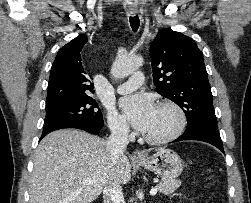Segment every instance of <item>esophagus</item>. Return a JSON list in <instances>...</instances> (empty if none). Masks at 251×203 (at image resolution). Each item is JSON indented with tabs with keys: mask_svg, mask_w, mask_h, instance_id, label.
Here are the masks:
<instances>
[{
	"mask_svg": "<svg viewBox=\"0 0 251 203\" xmlns=\"http://www.w3.org/2000/svg\"><path fill=\"white\" fill-rule=\"evenodd\" d=\"M130 14L131 15H136L137 14V9H131L130 10ZM132 157L134 159H143L144 158V154L140 151V150H135L132 154Z\"/></svg>",
	"mask_w": 251,
	"mask_h": 203,
	"instance_id": "obj_1",
	"label": "esophagus"
}]
</instances>
